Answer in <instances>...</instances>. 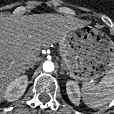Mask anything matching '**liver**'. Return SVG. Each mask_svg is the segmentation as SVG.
Wrapping results in <instances>:
<instances>
[{
    "instance_id": "obj_1",
    "label": "liver",
    "mask_w": 114,
    "mask_h": 114,
    "mask_svg": "<svg viewBox=\"0 0 114 114\" xmlns=\"http://www.w3.org/2000/svg\"><path fill=\"white\" fill-rule=\"evenodd\" d=\"M85 22L57 14L0 18V102L8 84L38 60L43 45L59 43L68 31Z\"/></svg>"
}]
</instances>
